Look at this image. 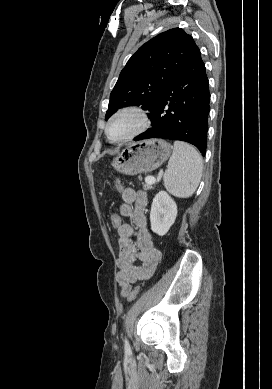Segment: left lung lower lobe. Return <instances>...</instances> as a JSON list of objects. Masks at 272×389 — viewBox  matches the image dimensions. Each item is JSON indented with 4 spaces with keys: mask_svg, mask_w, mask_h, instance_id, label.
Wrapping results in <instances>:
<instances>
[{
    "mask_svg": "<svg viewBox=\"0 0 272 389\" xmlns=\"http://www.w3.org/2000/svg\"><path fill=\"white\" fill-rule=\"evenodd\" d=\"M209 102L208 78L199 51L163 90L149 115L153 126L134 140L185 141L205 155Z\"/></svg>",
    "mask_w": 272,
    "mask_h": 389,
    "instance_id": "obj_1",
    "label": "left lung lower lobe"
}]
</instances>
